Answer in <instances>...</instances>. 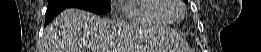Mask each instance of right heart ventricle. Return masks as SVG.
<instances>
[{"instance_id": "e07e8e85", "label": "right heart ventricle", "mask_w": 261, "mask_h": 52, "mask_svg": "<svg viewBox=\"0 0 261 52\" xmlns=\"http://www.w3.org/2000/svg\"><path fill=\"white\" fill-rule=\"evenodd\" d=\"M167 0H129L121 8V20L140 24H170L165 16Z\"/></svg>"}]
</instances>
